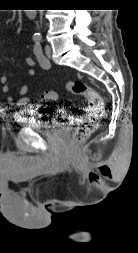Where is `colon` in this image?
Segmentation results:
<instances>
[{
	"label": "colon",
	"instance_id": "5ec220e1",
	"mask_svg": "<svg viewBox=\"0 0 138 253\" xmlns=\"http://www.w3.org/2000/svg\"><path fill=\"white\" fill-rule=\"evenodd\" d=\"M66 90L75 95H82L88 101V106L78 117V124L73 132V141L80 143L85 141L92 133H94L99 121L104 115V101L101 95L82 80L70 81L66 84ZM58 94L55 91L45 92L40 95L42 102H55Z\"/></svg>",
	"mask_w": 138,
	"mask_h": 253
}]
</instances>
